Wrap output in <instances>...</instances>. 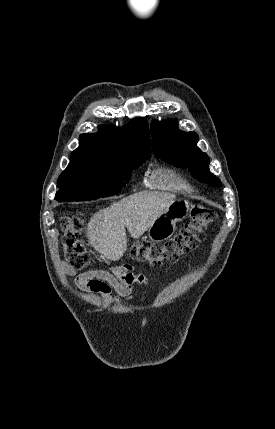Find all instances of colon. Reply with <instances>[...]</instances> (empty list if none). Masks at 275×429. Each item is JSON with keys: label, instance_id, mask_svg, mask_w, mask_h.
<instances>
[{"label": "colon", "instance_id": "obj_1", "mask_svg": "<svg viewBox=\"0 0 275 429\" xmlns=\"http://www.w3.org/2000/svg\"><path fill=\"white\" fill-rule=\"evenodd\" d=\"M215 218L213 209L195 204L191 208L189 221L177 235L163 244L136 242L131 246L130 255L153 268L160 267L164 261L175 262L198 247L204 239L206 229ZM84 219L83 214H68L61 218L63 255L66 262L75 269H81L88 263V256L80 239Z\"/></svg>", "mask_w": 275, "mask_h": 429}]
</instances>
